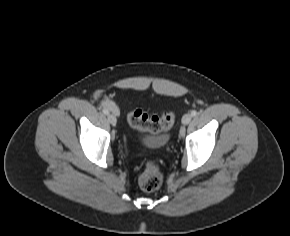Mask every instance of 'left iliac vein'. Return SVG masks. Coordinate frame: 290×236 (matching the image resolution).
<instances>
[{
    "mask_svg": "<svg viewBox=\"0 0 290 236\" xmlns=\"http://www.w3.org/2000/svg\"><path fill=\"white\" fill-rule=\"evenodd\" d=\"M191 119H192V115L189 114V113H187V114H185V115L182 117V123H183L184 125H187V124L190 123Z\"/></svg>",
    "mask_w": 290,
    "mask_h": 236,
    "instance_id": "1",
    "label": "left iliac vein"
}]
</instances>
